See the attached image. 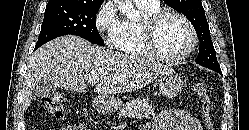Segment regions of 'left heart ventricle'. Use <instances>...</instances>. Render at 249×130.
Returning <instances> with one entry per match:
<instances>
[{
    "mask_svg": "<svg viewBox=\"0 0 249 130\" xmlns=\"http://www.w3.org/2000/svg\"><path fill=\"white\" fill-rule=\"evenodd\" d=\"M156 40L159 48L167 55L183 53L190 43V33L179 18L166 17L158 26Z\"/></svg>",
    "mask_w": 249,
    "mask_h": 130,
    "instance_id": "obj_1",
    "label": "left heart ventricle"
}]
</instances>
